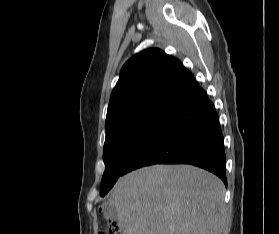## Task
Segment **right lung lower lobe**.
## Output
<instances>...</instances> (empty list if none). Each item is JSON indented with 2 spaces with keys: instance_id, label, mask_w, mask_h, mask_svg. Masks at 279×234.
Listing matches in <instances>:
<instances>
[{
  "instance_id": "obj_1",
  "label": "right lung lower lobe",
  "mask_w": 279,
  "mask_h": 234,
  "mask_svg": "<svg viewBox=\"0 0 279 234\" xmlns=\"http://www.w3.org/2000/svg\"><path fill=\"white\" fill-rule=\"evenodd\" d=\"M191 164L227 186L223 135L214 105L196 83L171 105L134 151L123 174L153 164Z\"/></svg>"
}]
</instances>
